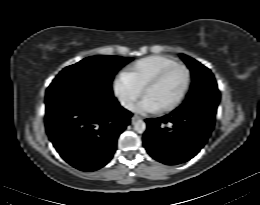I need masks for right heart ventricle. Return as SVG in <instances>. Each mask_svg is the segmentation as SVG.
Listing matches in <instances>:
<instances>
[{
	"mask_svg": "<svg viewBox=\"0 0 260 205\" xmlns=\"http://www.w3.org/2000/svg\"><path fill=\"white\" fill-rule=\"evenodd\" d=\"M178 62L174 58L162 55L148 56L137 61L124 76L136 87L143 89L145 84L163 68Z\"/></svg>",
	"mask_w": 260,
	"mask_h": 205,
	"instance_id": "1",
	"label": "right heart ventricle"
}]
</instances>
